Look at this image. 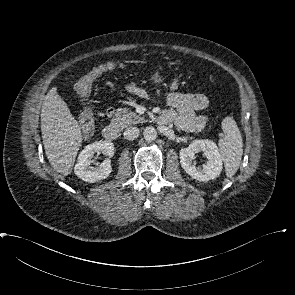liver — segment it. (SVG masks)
Here are the masks:
<instances>
[{"label":"liver","instance_id":"1","mask_svg":"<svg viewBox=\"0 0 295 295\" xmlns=\"http://www.w3.org/2000/svg\"><path fill=\"white\" fill-rule=\"evenodd\" d=\"M41 132L46 156L55 171L71 173L82 143V132L64 100L53 87L44 97Z\"/></svg>","mask_w":295,"mask_h":295}]
</instances>
